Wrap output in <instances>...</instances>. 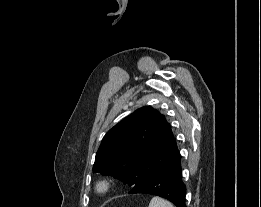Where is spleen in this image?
<instances>
[{"instance_id":"obj_1","label":"spleen","mask_w":261,"mask_h":207,"mask_svg":"<svg viewBox=\"0 0 261 207\" xmlns=\"http://www.w3.org/2000/svg\"><path fill=\"white\" fill-rule=\"evenodd\" d=\"M149 207H174L170 202L160 197H153L149 203Z\"/></svg>"}]
</instances>
